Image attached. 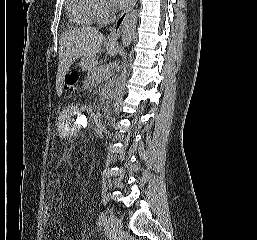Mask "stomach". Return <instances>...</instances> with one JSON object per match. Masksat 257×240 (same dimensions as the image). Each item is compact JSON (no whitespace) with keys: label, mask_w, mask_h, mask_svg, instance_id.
Returning a JSON list of instances; mask_svg holds the SVG:
<instances>
[{"label":"stomach","mask_w":257,"mask_h":240,"mask_svg":"<svg viewBox=\"0 0 257 240\" xmlns=\"http://www.w3.org/2000/svg\"><path fill=\"white\" fill-rule=\"evenodd\" d=\"M106 49H107V52L111 55L115 54L116 53V50H117V47L116 45H110V44H107L106 45ZM94 64H95V60H91V59H82L81 61V67L83 68V70H87L89 71L90 69H92L94 67Z\"/></svg>","instance_id":"obj_1"}]
</instances>
